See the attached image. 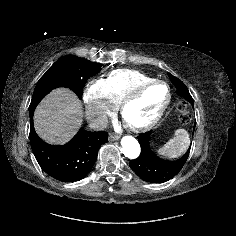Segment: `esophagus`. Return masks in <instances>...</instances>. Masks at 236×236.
Wrapping results in <instances>:
<instances>
[{
	"mask_svg": "<svg viewBox=\"0 0 236 236\" xmlns=\"http://www.w3.org/2000/svg\"><path fill=\"white\" fill-rule=\"evenodd\" d=\"M119 139V136L116 135V134H110L109 135V140L110 141H114V140H118Z\"/></svg>",
	"mask_w": 236,
	"mask_h": 236,
	"instance_id": "obj_1",
	"label": "esophagus"
}]
</instances>
